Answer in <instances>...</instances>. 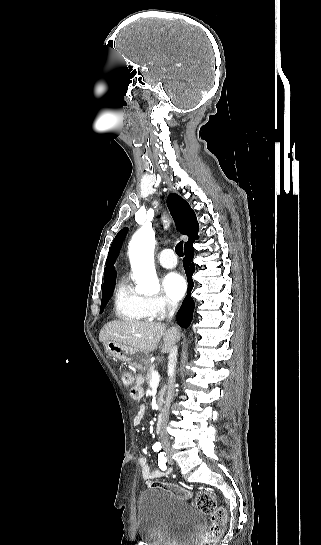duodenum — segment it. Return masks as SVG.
<instances>
[{
    "instance_id": "410a0bca",
    "label": "duodenum",
    "mask_w": 321,
    "mask_h": 545,
    "mask_svg": "<svg viewBox=\"0 0 321 545\" xmlns=\"http://www.w3.org/2000/svg\"><path fill=\"white\" fill-rule=\"evenodd\" d=\"M163 424V414H159L156 420V431L159 433L161 432Z\"/></svg>"
}]
</instances>
